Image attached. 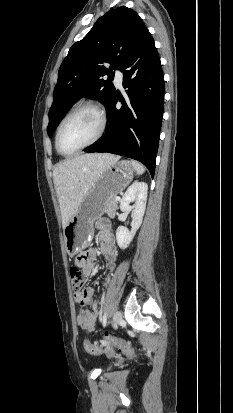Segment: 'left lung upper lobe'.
Instances as JSON below:
<instances>
[{
	"label": "left lung upper lobe",
	"mask_w": 233,
	"mask_h": 413,
	"mask_svg": "<svg viewBox=\"0 0 233 413\" xmlns=\"http://www.w3.org/2000/svg\"><path fill=\"white\" fill-rule=\"evenodd\" d=\"M148 29L130 8L111 9L100 17L89 33L76 42L63 60L49 111L48 135L59 124L69 107L79 98L91 95L107 108L115 89L101 77L121 69L138 47ZM104 63H110L107 69Z\"/></svg>",
	"instance_id": "obj_1"
}]
</instances>
